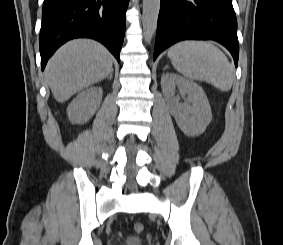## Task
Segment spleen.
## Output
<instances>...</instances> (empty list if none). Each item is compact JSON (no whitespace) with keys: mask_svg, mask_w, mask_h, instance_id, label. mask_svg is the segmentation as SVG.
Wrapping results in <instances>:
<instances>
[{"mask_svg":"<svg viewBox=\"0 0 283 245\" xmlns=\"http://www.w3.org/2000/svg\"><path fill=\"white\" fill-rule=\"evenodd\" d=\"M173 67L184 77L205 81L221 91H229L234 69L226 55L208 41L185 40L168 51Z\"/></svg>","mask_w":283,"mask_h":245,"instance_id":"obj_1","label":"spleen"}]
</instances>
